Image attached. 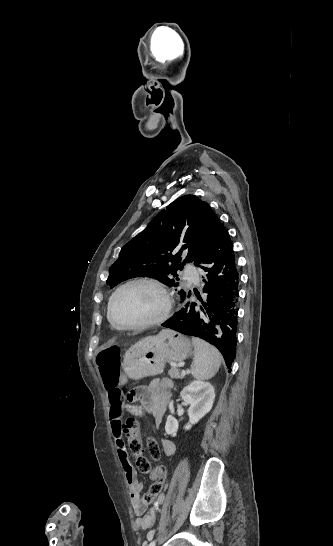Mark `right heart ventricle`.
Returning a JSON list of instances; mask_svg holds the SVG:
<instances>
[{"mask_svg": "<svg viewBox=\"0 0 333 546\" xmlns=\"http://www.w3.org/2000/svg\"><path fill=\"white\" fill-rule=\"evenodd\" d=\"M110 324H111V322H110ZM111 326H112L113 328H115L112 324H111Z\"/></svg>", "mask_w": 333, "mask_h": 546, "instance_id": "1", "label": "right heart ventricle"}]
</instances>
